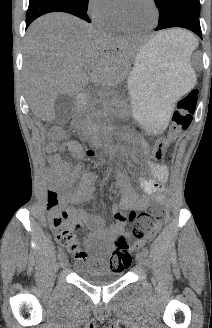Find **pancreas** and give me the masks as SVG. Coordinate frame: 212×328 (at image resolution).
Here are the masks:
<instances>
[{"mask_svg": "<svg viewBox=\"0 0 212 328\" xmlns=\"http://www.w3.org/2000/svg\"><path fill=\"white\" fill-rule=\"evenodd\" d=\"M96 103H102V109L95 108ZM127 107V104L118 98L115 91L103 92L98 98L91 99L81 109L74 124L81 133L94 140L100 138L99 130L104 116L112 115Z\"/></svg>", "mask_w": 212, "mask_h": 328, "instance_id": "1", "label": "pancreas"}]
</instances>
